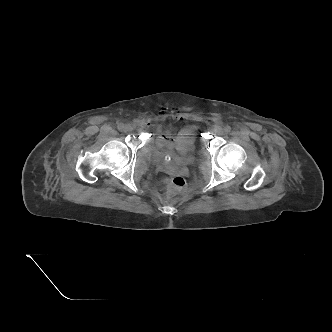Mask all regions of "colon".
Masks as SVG:
<instances>
[{
  "instance_id": "colon-1",
  "label": "colon",
  "mask_w": 332,
  "mask_h": 332,
  "mask_svg": "<svg viewBox=\"0 0 332 332\" xmlns=\"http://www.w3.org/2000/svg\"><path fill=\"white\" fill-rule=\"evenodd\" d=\"M163 185L169 193H177L185 187L186 181L180 176L165 177Z\"/></svg>"
}]
</instances>
